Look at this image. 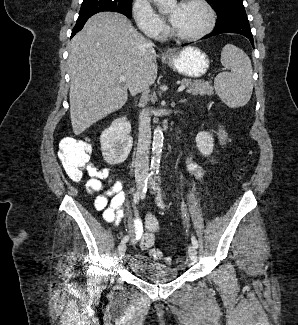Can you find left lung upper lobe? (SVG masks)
<instances>
[{
    "label": "left lung upper lobe",
    "instance_id": "left-lung-upper-lobe-1",
    "mask_svg": "<svg viewBox=\"0 0 298 325\" xmlns=\"http://www.w3.org/2000/svg\"><path fill=\"white\" fill-rule=\"evenodd\" d=\"M217 13V21L235 11L245 10L243 0H209Z\"/></svg>",
    "mask_w": 298,
    "mask_h": 325
}]
</instances>
